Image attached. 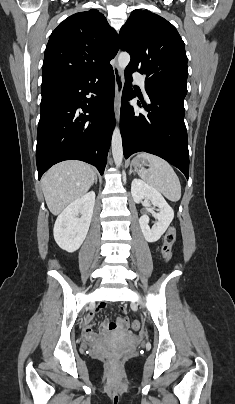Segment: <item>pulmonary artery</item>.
<instances>
[{"instance_id": "1", "label": "pulmonary artery", "mask_w": 235, "mask_h": 404, "mask_svg": "<svg viewBox=\"0 0 235 404\" xmlns=\"http://www.w3.org/2000/svg\"><path fill=\"white\" fill-rule=\"evenodd\" d=\"M133 78H134V80H135L143 89H145V81H144V78H143V76H142L138 71H135V72L133 73Z\"/></svg>"}]
</instances>
